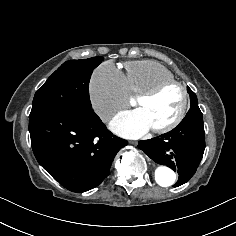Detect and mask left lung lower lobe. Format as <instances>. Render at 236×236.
Segmentation results:
<instances>
[{
    "label": "left lung lower lobe",
    "instance_id": "0a47b994",
    "mask_svg": "<svg viewBox=\"0 0 236 236\" xmlns=\"http://www.w3.org/2000/svg\"><path fill=\"white\" fill-rule=\"evenodd\" d=\"M138 147L152 160L177 171L175 187L186 183L196 172L205 149L202 116L185 117L172 131L139 141Z\"/></svg>",
    "mask_w": 236,
    "mask_h": 236
}]
</instances>
